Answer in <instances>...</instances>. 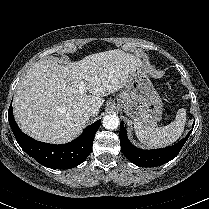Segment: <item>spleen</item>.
<instances>
[{"instance_id": "obj_1", "label": "spleen", "mask_w": 209, "mask_h": 209, "mask_svg": "<svg viewBox=\"0 0 209 209\" xmlns=\"http://www.w3.org/2000/svg\"><path fill=\"white\" fill-rule=\"evenodd\" d=\"M186 123V110L177 111L176 118L167 126L146 127L134 122L135 134L139 141L148 147H165L176 142L184 131Z\"/></svg>"}]
</instances>
